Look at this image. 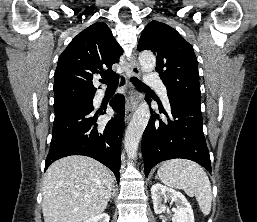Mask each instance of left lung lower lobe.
Segmentation results:
<instances>
[{
	"label": "left lung lower lobe",
	"mask_w": 257,
	"mask_h": 222,
	"mask_svg": "<svg viewBox=\"0 0 257 222\" xmlns=\"http://www.w3.org/2000/svg\"><path fill=\"white\" fill-rule=\"evenodd\" d=\"M168 98L171 120H162L158 114L152 115L143 133L145 176H148L150 169L157 163L174 158L195 161L211 172L202 127L201 105L173 95H168Z\"/></svg>",
	"instance_id": "1"
}]
</instances>
